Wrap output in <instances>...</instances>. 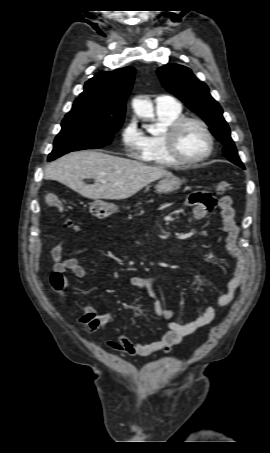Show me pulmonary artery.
<instances>
[{"label":"pulmonary artery","instance_id":"e3ab8cb5","mask_svg":"<svg viewBox=\"0 0 270 453\" xmlns=\"http://www.w3.org/2000/svg\"><path fill=\"white\" fill-rule=\"evenodd\" d=\"M155 107L157 112L178 110L181 108L180 104L169 95H160L155 99Z\"/></svg>","mask_w":270,"mask_h":453}]
</instances>
